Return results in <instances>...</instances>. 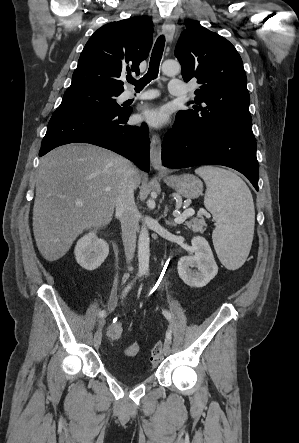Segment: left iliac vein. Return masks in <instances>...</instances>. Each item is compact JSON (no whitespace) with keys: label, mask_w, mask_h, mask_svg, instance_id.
<instances>
[{"label":"left iliac vein","mask_w":299,"mask_h":443,"mask_svg":"<svg viewBox=\"0 0 299 443\" xmlns=\"http://www.w3.org/2000/svg\"><path fill=\"white\" fill-rule=\"evenodd\" d=\"M171 352V347L168 341L164 343L163 353L164 355H169Z\"/></svg>","instance_id":"4c4485c4"}]
</instances>
